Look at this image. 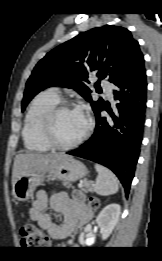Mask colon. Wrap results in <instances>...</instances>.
Here are the masks:
<instances>
[{
    "label": "colon",
    "instance_id": "colon-1",
    "mask_svg": "<svg viewBox=\"0 0 162 261\" xmlns=\"http://www.w3.org/2000/svg\"><path fill=\"white\" fill-rule=\"evenodd\" d=\"M75 198L77 200H87L91 208L96 209L99 206V202L97 199H86L82 193H76ZM20 241L21 245L25 248H42L48 244L47 238L32 222H28L22 225L20 229Z\"/></svg>",
    "mask_w": 162,
    "mask_h": 261
}]
</instances>
